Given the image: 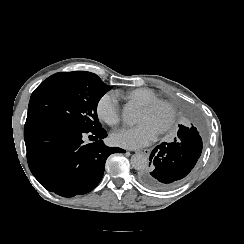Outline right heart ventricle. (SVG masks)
<instances>
[{"mask_svg":"<svg viewBox=\"0 0 244 244\" xmlns=\"http://www.w3.org/2000/svg\"><path fill=\"white\" fill-rule=\"evenodd\" d=\"M115 95L119 99H126V100H130L131 102H136L139 106L142 104L158 101L156 94L148 88L118 90L115 92Z\"/></svg>","mask_w":244,"mask_h":244,"instance_id":"obj_1","label":"right heart ventricle"}]
</instances>
